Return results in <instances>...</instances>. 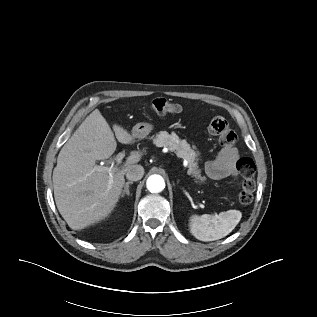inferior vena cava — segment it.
Returning <instances> with one entry per match:
<instances>
[{
    "instance_id": "inferior-vena-cava-1",
    "label": "inferior vena cava",
    "mask_w": 317,
    "mask_h": 317,
    "mask_svg": "<svg viewBox=\"0 0 317 317\" xmlns=\"http://www.w3.org/2000/svg\"><path fill=\"white\" fill-rule=\"evenodd\" d=\"M144 175V168L141 165H132L126 170V178L131 181H138Z\"/></svg>"
}]
</instances>
